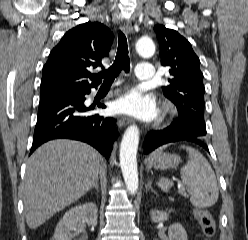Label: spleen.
<instances>
[{
	"mask_svg": "<svg viewBox=\"0 0 248 240\" xmlns=\"http://www.w3.org/2000/svg\"><path fill=\"white\" fill-rule=\"evenodd\" d=\"M189 154L188 162L181 169V179L186 186L190 201L193 206L204 208L211 207L217 202L219 188L214 171L207 159L197 150L181 146ZM161 189L168 192L173 182L161 178Z\"/></svg>",
	"mask_w": 248,
	"mask_h": 240,
	"instance_id": "1",
	"label": "spleen"
}]
</instances>
